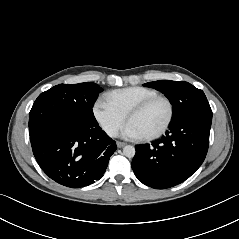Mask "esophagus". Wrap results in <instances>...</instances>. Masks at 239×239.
Wrapping results in <instances>:
<instances>
[{"label":"esophagus","instance_id":"1","mask_svg":"<svg viewBox=\"0 0 239 239\" xmlns=\"http://www.w3.org/2000/svg\"><path fill=\"white\" fill-rule=\"evenodd\" d=\"M116 144H117L118 148H122V147H124L126 145V143L121 142V141H117Z\"/></svg>","mask_w":239,"mask_h":239}]
</instances>
